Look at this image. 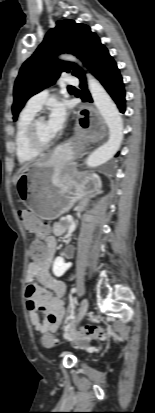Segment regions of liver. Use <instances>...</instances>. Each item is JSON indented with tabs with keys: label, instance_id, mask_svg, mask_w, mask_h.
I'll return each mask as SVG.
<instances>
[{
	"label": "liver",
	"instance_id": "liver-1",
	"mask_svg": "<svg viewBox=\"0 0 155 413\" xmlns=\"http://www.w3.org/2000/svg\"><path fill=\"white\" fill-rule=\"evenodd\" d=\"M23 168V167H22ZM22 168L19 170V173H20V171L22 170ZM19 173H18V175H19ZM17 179H18V176L15 178V180H14V183L16 184V182H17Z\"/></svg>",
	"mask_w": 155,
	"mask_h": 413
}]
</instances>
